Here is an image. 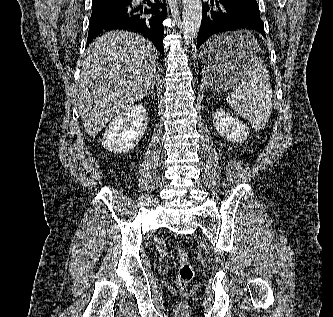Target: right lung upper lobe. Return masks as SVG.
Instances as JSON below:
<instances>
[{"label":"right lung upper lobe","instance_id":"obj_1","mask_svg":"<svg viewBox=\"0 0 333 317\" xmlns=\"http://www.w3.org/2000/svg\"><path fill=\"white\" fill-rule=\"evenodd\" d=\"M114 1H127V0H114Z\"/></svg>","mask_w":333,"mask_h":317}]
</instances>
